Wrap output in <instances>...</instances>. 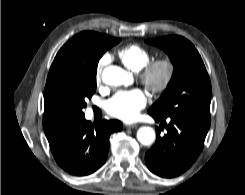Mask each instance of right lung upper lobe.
I'll return each instance as SVG.
<instances>
[{"mask_svg": "<svg viewBox=\"0 0 245 195\" xmlns=\"http://www.w3.org/2000/svg\"><path fill=\"white\" fill-rule=\"evenodd\" d=\"M106 37L110 36L92 31L81 32L72 37L57 53L50 68L44 91L43 128L47 139L56 136L57 134L62 132L72 121H74L68 111L58 101L50 87V76L52 70L56 63L59 61L63 49L77 43L95 44L105 39Z\"/></svg>", "mask_w": 245, "mask_h": 195, "instance_id": "cb5924a9", "label": "right lung upper lobe"}]
</instances>
